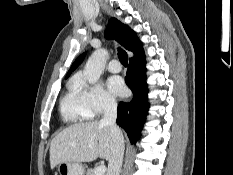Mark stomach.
Listing matches in <instances>:
<instances>
[{
	"mask_svg": "<svg viewBox=\"0 0 233 175\" xmlns=\"http://www.w3.org/2000/svg\"><path fill=\"white\" fill-rule=\"evenodd\" d=\"M59 175H84V167L77 162H63L58 165Z\"/></svg>",
	"mask_w": 233,
	"mask_h": 175,
	"instance_id": "0dacf381",
	"label": "stomach"
}]
</instances>
